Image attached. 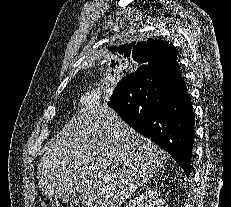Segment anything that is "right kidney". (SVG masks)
Returning <instances> with one entry per match:
<instances>
[{
    "label": "right kidney",
    "instance_id": "obj_1",
    "mask_svg": "<svg viewBox=\"0 0 231 207\" xmlns=\"http://www.w3.org/2000/svg\"><path fill=\"white\" fill-rule=\"evenodd\" d=\"M125 207H163V199L156 189L147 188L131 199Z\"/></svg>",
    "mask_w": 231,
    "mask_h": 207
}]
</instances>
